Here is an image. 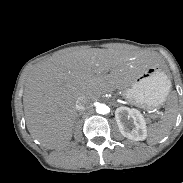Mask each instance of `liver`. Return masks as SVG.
I'll return each instance as SVG.
<instances>
[{"label":"liver","mask_w":183,"mask_h":183,"mask_svg":"<svg viewBox=\"0 0 183 183\" xmlns=\"http://www.w3.org/2000/svg\"><path fill=\"white\" fill-rule=\"evenodd\" d=\"M150 65L142 53L98 48L64 52L35 64L23 95L28 131L48 149L67 145L79 97L89 104L103 93L123 90Z\"/></svg>","instance_id":"liver-1"}]
</instances>
